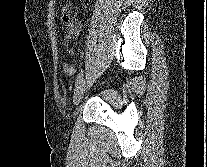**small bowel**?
Here are the masks:
<instances>
[{"label":"small bowel","mask_w":207,"mask_h":167,"mask_svg":"<svg viewBox=\"0 0 207 167\" xmlns=\"http://www.w3.org/2000/svg\"><path fill=\"white\" fill-rule=\"evenodd\" d=\"M80 26H77L72 32L71 35L66 37L64 40V45L66 48H68L67 50V54L69 56H73L75 54L74 50L70 48L69 45V39L71 38L72 35H75L78 33ZM63 71L68 74V75H74L76 73V68L74 66V64L71 63H64L63 64Z\"/></svg>","instance_id":"1"}]
</instances>
